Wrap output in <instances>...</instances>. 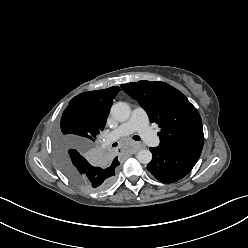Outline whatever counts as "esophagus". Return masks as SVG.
<instances>
[{
    "mask_svg": "<svg viewBox=\"0 0 248 248\" xmlns=\"http://www.w3.org/2000/svg\"><path fill=\"white\" fill-rule=\"evenodd\" d=\"M141 148H142L141 145H137V146H134V147H133L132 151H133V152H137V151H139Z\"/></svg>",
    "mask_w": 248,
    "mask_h": 248,
    "instance_id": "1",
    "label": "esophagus"
}]
</instances>
